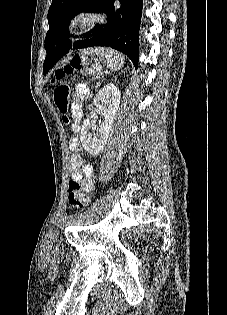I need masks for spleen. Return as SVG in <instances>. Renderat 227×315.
<instances>
[{
	"label": "spleen",
	"instance_id": "obj_1",
	"mask_svg": "<svg viewBox=\"0 0 227 315\" xmlns=\"http://www.w3.org/2000/svg\"><path fill=\"white\" fill-rule=\"evenodd\" d=\"M96 53L111 70H119L124 64V58L113 50L99 49Z\"/></svg>",
	"mask_w": 227,
	"mask_h": 315
}]
</instances>
